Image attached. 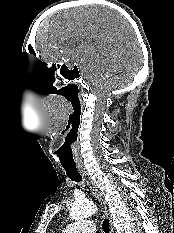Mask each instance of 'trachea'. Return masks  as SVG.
Masks as SVG:
<instances>
[{"mask_svg": "<svg viewBox=\"0 0 174 233\" xmlns=\"http://www.w3.org/2000/svg\"><path fill=\"white\" fill-rule=\"evenodd\" d=\"M68 177L75 182H81L82 181V176L79 174L78 170L76 167H64ZM102 228L105 233H109L110 228H109V220L105 219L102 223Z\"/></svg>", "mask_w": 174, "mask_h": 233, "instance_id": "1", "label": "trachea"}]
</instances>
